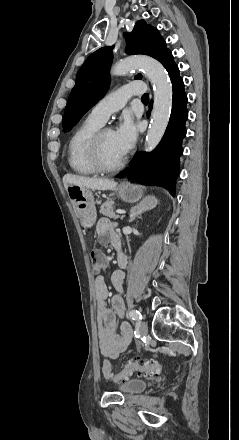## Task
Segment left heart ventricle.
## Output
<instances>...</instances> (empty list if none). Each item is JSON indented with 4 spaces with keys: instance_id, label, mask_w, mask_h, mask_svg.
I'll return each mask as SVG.
<instances>
[{
    "instance_id": "1",
    "label": "left heart ventricle",
    "mask_w": 239,
    "mask_h": 440,
    "mask_svg": "<svg viewBox=\"0 0 239 440\" xmlns=\"http://www.w3.org/2000/svg\"><path fill=\"white\" fill-rule=\"evenodd\" d=\"M101 153L107 165H113L124 154L120 150L113 131H107L101 140Z\"/></svg>"
}]
</instances>
